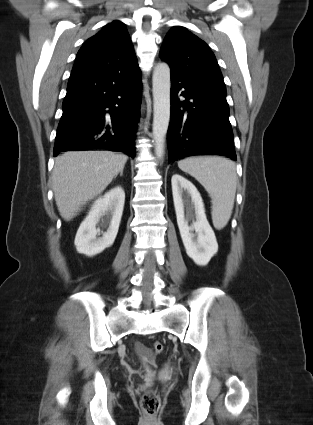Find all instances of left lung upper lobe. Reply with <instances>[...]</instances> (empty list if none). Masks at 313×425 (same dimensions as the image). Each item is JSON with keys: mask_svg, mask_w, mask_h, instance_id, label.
I'll use <instances>...</instances> for the list:
<instances>
[{"mask_svg": "<svg viewBox=\"0 0 313 425\" xmlns=\"http://www.w3.org/2000/svg\"><path fill=\"white\" fill-rule=\"evenodd\" d=\"M160 57L171 72L198 84L226 88L209 46L185 27H173L165 37Z\"/></svg>", "mask_w": 313, "mask_h": 425, "instance_id": "1", "label": "left lung upper lobe"}]
</instances>
